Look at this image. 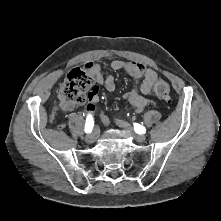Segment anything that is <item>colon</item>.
Listing matches in <instances>:
<instances>
[{"mask_svg":"<svg viewBox=\"0 0 221 221\" xmlns=\"http://www.w3.org/2000/svg\"><path fill=\"white\" fill-rule=\"evenodd\" d=\"M93 85L90 74L79 68L71 69L59 90V96L62 101L76 104L83 103L88 94V88ZM157 97L167 100L170 95V87L165 81H159L154 88Z\"/></svg>","mask_w":221,"mask_h":221,"instance_id":"5ec220e1","label":"colon"}]
</instances>
